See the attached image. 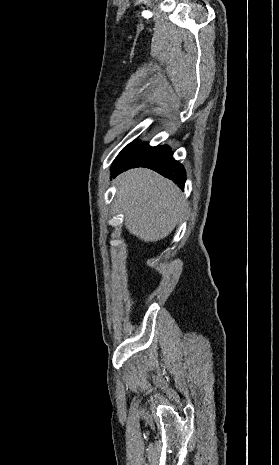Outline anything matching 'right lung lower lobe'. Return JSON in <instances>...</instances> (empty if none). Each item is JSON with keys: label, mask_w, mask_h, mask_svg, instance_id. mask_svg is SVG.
I'll return each mask as SVG.
<instances>
[{"label": "right lung lower lobe", "mask_w": 279, "mask_h": 465, "mask_svg": "<svg viewBox=\"0 0 279 465\" xmlns=\"http://www.w3.org/2000/svg\"><path fill=\"white\" fill-rule=\"evenodd\" d=\"M172 152L168 151L163 155L156 157L155 159L143 163L135 164L124 167H112V176L115 177L117 174L134 167H146L150 168L161 175L173 180L174 183L178 185L181 189H184V184L186 180L184 167L174 160L172 157Z\"/></svg>", "instance_id": "right-lung-lower-lobe-1"}]
</instances>
